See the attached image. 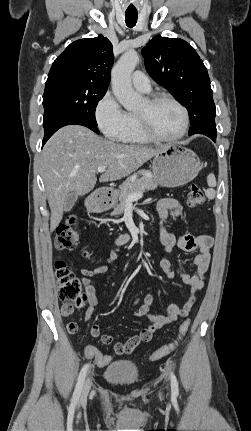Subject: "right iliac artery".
<instances>
[{
	"label": "right iliac artery",
	"mask_w": 251,
	"mask_h": 431,
	"mask_svg": "<svg viewBox=\"0 0 251 431\" xmlns=\"http://www.w3.org/2000/svg\"><path fill=\"white\" fill-rule=\"evenodd\" d=\"M88 368H89V364L87 363V364H85L83 366V368L80 371V374H79V377H78V381H77V384H76V387H75V390H74V393H73V400L74 401H77L79 399V397H80V394H81V391H82V387H83V383H84L85 377L87 375Z\"/></svg>",
	"instance_id": "82829eb1"
}]
</instances>
